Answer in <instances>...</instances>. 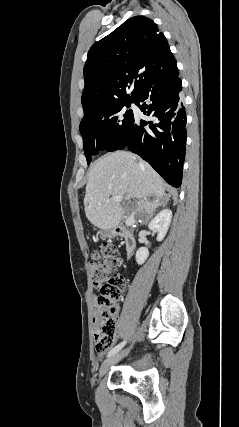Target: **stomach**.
<instances>
[{"label":"stomach","instance_id":"stomach-1","mask_svg":"<svg viewBox=\"0 0 239 427\" xmlns=\"http://www.w3.org/2000/svg\"><path fill=\"white\" fill-rule=\"evenodd\" d=\"M100 235L102 237H110V236H112V231L111 230H101Z\"/></svg>","mask_w":239,"mask_h":427}]
</instances>
